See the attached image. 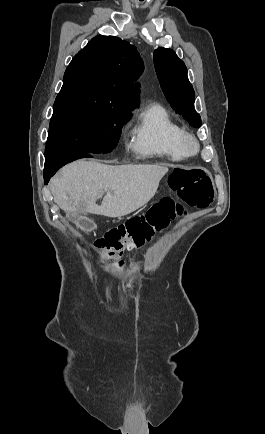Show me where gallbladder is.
<instances>
[{"label":"gallbladder","instance_id":"bac80fb5","mask_svg":"<svg viewBox=\"0 0 265 434\" xmlns=\"http://www.w3.org/2000/svg\"><path fill=\"white\" fill-rule=\"evenodd\" d=\"M92 220H90V219H88V218H85V216L84 215H79L78 216V224H79V226H81L80 228H81V230H86V231H89V230H91V229H93V226H91L92 225Z\"/></svg>","mask_w":265,"mask_h":434}]
</instances>
